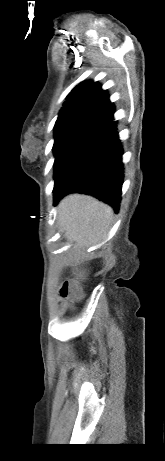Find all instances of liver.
I'll return each mask as SVG.
<instances>
[{"label": "liver", "mask_w": 165, "mask_h": 461, "mask_svg": "<svg viewBox=\"0 0 165 461\" xmlns=\"http://www.w3.org/2000/svg\"><path fill=\"white\" fill-rule=\"evenodd\" d=\"M57 212L65 238L68 243L74 244V252L78 256L106 236L113 219V209L110 206L81 194H70L63 198ZM76 270L77 276L85 275V271Z\"/></svg>", "instance_id": "6515ba94"}]
</instances>
